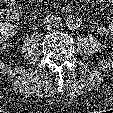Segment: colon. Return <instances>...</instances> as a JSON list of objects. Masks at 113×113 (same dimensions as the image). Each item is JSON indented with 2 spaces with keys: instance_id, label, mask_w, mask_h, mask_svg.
Masks as SVG:
<instances>
[{
  "instance_id": "colon-1",
  "label": "colon",
  "mask_w": 113,
  "mask_h": 113,
  "mask_svg": "<svg viewBox=\"0 0 113 113\" xmlns=\"http://www.w3.org/2000/svg\"><path fill=\"white\" fill-rule=\"evenodd\" d=\"M4 1H9V3H12L10 0H0V30L1 28L6 24L7 22V15L9 12L6 13L7 7L9 4L5 3ZM20 1V0H15ZM29 1V0H28ZM33 1V0H30Z\"/></svg>"
}]
</instances>
